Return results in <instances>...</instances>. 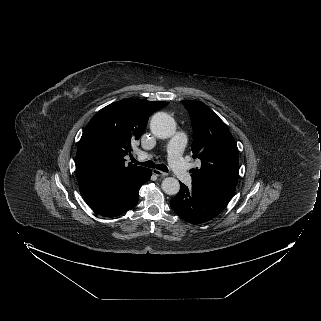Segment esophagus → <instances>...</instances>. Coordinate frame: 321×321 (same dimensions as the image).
Returning a JSON list of instances; mask_svg holds the SVG:
<instances>
[{
    "label": "esophagus",
    "instance_id": "1",
    "mask_svg": "<svg viewBox=\"0 0 321 321\" xmlns=\"http://www.w3.org/2000/svg\"><path fill=\"white\" fill-rule=\"evenodd\" d=\"M152 173H153L154 175H156V176H162V177H165V176L168 175L167 173L162 172V171H160V170H158V169H153V170H152Z\"/></svg>",
    "mask_w": 321,
    "mask_h": 321
}]
</instances>
